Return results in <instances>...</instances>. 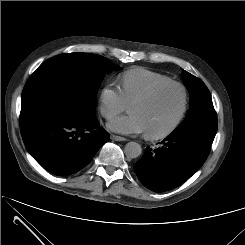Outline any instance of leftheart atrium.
I'll use <instances>...</instances> for the list:
<instances>
[{"label": "left heart atrium", "mask_w": 245, "mask_h": 245, "mask_svg": "<svg viewBox=\"0 0 245 245\" xmlns=\"http://www.w3.org/2000/svg\"><path fill=\"white\" fill-rule=\"evenodd\" d=\"M110 130L123 134H137L145 132V127L140 117L135 113L112 119L108 123Z\"/></svg>", "instance_id": "left-heart-atrium-1"}]
</instances>
